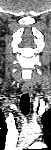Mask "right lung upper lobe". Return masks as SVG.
<instances>
[{"instance_id": "obj_1", "label": "right lung upper lobe", "mask_w": 51, "mask_h": 150, "mask_svg": "<svg viewBox=\"0 0 51 150\" xmlns=\"http://www.w3.org/2000/svg\"><path fill=\"white\" fill-rule=\"evenodd\" d=\"M7 134V125L4 114L0 111V150L4 149Z\"/></svg>"}]
</instances>
